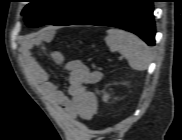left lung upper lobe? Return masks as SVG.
Wrapping results in <instances>:
<instances>
[{
    "label": "left lung upper lobe",
    "mask_w": 182,
    "mask_h": 140,
    "mask_svg": "<svg viewBox=\"0 0 182 140\" xmlns=\"http://www.w3.org/2000/svg\"><path fill=\"white\" fill-rule=\"evenodd\" d=\"M102 0H31L22 11L28 26L70 25Z\"/></svg>",
    "instance_id": "left-lung-upper-lobe-1"
}]
</instances>
